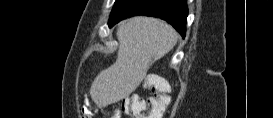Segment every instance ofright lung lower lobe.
<instances>
[{"label": "right lung lower lobe", "mask_w": 273, "mask_h": 118, "mask_svg": "<svg viewBox=\"0 0 273 118\" xmlns=\"http://www.w3.org/2000/svg\"><path fill=\"white\" fill-rule=\"evenodd\" d=\"M135 15H146L167 21L182 37L186 34L188 8L186 0H123L112 12L109 26Z\"/></svg>", "instance_id": "right-lung-lower-lobe-1"}]
</instances>
